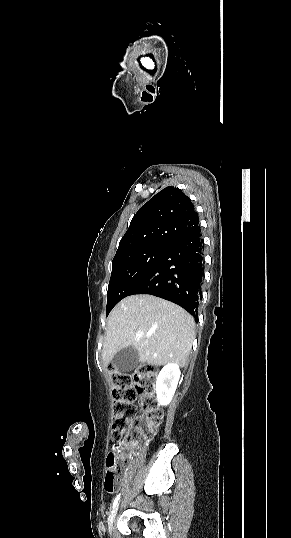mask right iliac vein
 I'll list each match as a JSON object with an SVG mask.
<instances>
[{
    "label": "right iliac vein",
    "instance_id": "63e3f726",
    "mask_svg": "<svg viewBox=\"0 0 291 538\" xmlns=\"http://www.w3.org/2000/svg\"><path fill=\"white\" fill-rule=\"evenodd\" d=\"M118 507H119V504H117L113 508L112 512L110 513V515L108 517V527H109L110 531H112V527H113V524H114V521H115V518H116V515H117Z\"/></svg>",
    "mask_w": 291,
    "mask_h": 538
}]
</instances>
